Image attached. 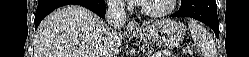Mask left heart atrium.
Returning <instances> with one entry per match:
<instances>
[{
	"mask_svg": "<svg viewBox=\"0 0 249 57\" xmlns=\"http://www.w3.org/2000/svg\"><path fill=\"white\" fill-rule=\"evenodd\" d=\"M133 2L137 3V4H142L145 2V0H133Z\"/></svg>",
	"mask_w": 249,
	"mask_h": 57,
	"instance_id": "obj_1",
	"label": "left heart atrium"
}]
</instances>
